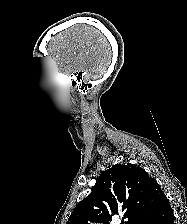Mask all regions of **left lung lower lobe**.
Returning a JSON list of instances; mask_svg holds the SVG:
<instances>
[{"label": "left lung lower lobe", "instance_id": "0a47b994", "mask_svg": "<svg viewBox=\"0 0 187 224\" xmlns=\"http://www.w3.org/2000/svg\"><path fill=\"white\" fill-rule=\"evenodd\" d=\"M174 220L175 217L171 205L162 191L146 224H174Z\"/></svg>", "mask_w": 187, "mask_h": 224}]
</instances>
